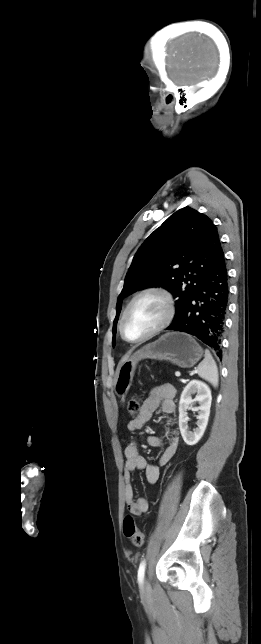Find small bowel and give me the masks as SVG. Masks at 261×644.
<instances>
[{"mask_svg": "<svg viewBox=\"0 0 261 644\" xmlns=\"http://www.w3.org/2000/svg\"><path fill=\"white\" fill-rule=\"evenodd\" d=\"M176 390L171 384H162L149 392L144 400L141 410L137 417L130 420L127 428L130 432H136L149 421L152 414L160 408L166 415H172L175 412L174 398ZM147 442L152 447L163 445V439L160 436L151 434L147 437ZM178 434L175 430L171 432L169 441L159 458V464H167L175 455L178 448ZM125 466L123 477L125 480L124 502L128 511L133 515H141L149 510V504L144 498H135L134 489L131 483V475L135 470H144L146 479L150 484H154L159 479V469L157 466L150 465L145 458L139 454L135 441L130 442L125 450Z\"/></svg>", "mask_w": 261, "mask_h": 644, "instance_id": "c3829d8e", "label": "small bowel"}]
</instances>
